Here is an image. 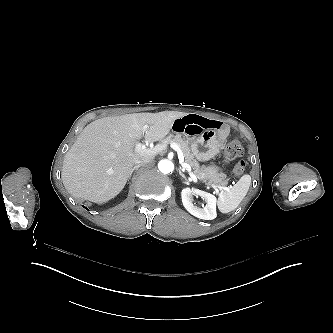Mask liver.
Instances as JSON below:
<instances>
[{"instance_id": "1", "label": "liver", "mask_w": 333, "mask_h": 333, "mask_svg": "<svg viewBox=\"0 0 333 333\" xmlns=\"http://www.w3.org/2000/svg\"><path fill=\"white\" fill-rule=\"evenodd\" d=\"M187 113L164 111L104 117L88 124L65 154L62 181L75 198L104 203L124 188L137 160L146 157L134 151L143 136L162 140L176 119ZM144 125H148L146 131Z\"/></svg>"}]
</instances>
